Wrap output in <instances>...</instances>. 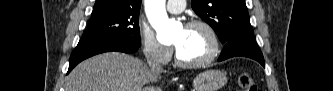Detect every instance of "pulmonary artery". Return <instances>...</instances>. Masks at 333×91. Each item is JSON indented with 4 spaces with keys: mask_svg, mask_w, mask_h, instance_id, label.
Listing matches in <instances>:
<instances>
[{
    "mask_svg": "<svg viewBox=\"0 0 333 91\" xmlns=\"http://www.w3.org/2000/svg\"><path fill=\"white\" fill-rule=\"evenodd\" d=\"M166 7L170 13H181L185 7V1H168Z\"/></svg>",
    "mask_w": 333,
    "mask_h": 91,
    "instance_id": "e3ab8cb5",
    "label": "pulmonary artery"
}]
</instances>
